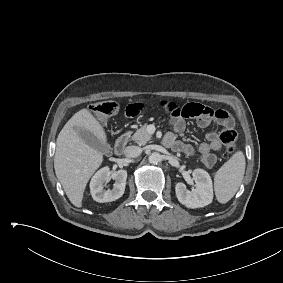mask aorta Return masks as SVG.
I'll return each mask as SVG.
<instances>
[{"instance_id":"aorta-1","label":"aorta","mask_w":283,"mask_h":283,"mask_svg":"<svg viewBox=\"0 0 283 283\" xmlns=\"http://www.w3.org/2000/svg\"><path fill=\"white\" fill-rule=\"evenodd\" d=\"M161 160H162V156L158 152H153L148 157V161L151 164H157V163L161 162Z\"/></svg>"}]
</instances>
